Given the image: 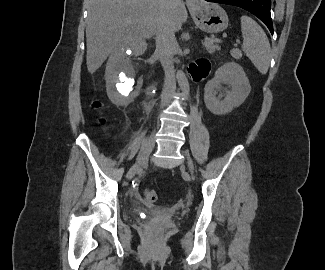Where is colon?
<instances>
[{
    "instance_id": "colon-1",
    "label": "colon",
    "mask_w": 325,
    "mask_h": 270,
    "mask_svg": "<svg viewBox=\"0 0 325 270\" xmlns=\"http://www.w3.org/2000/svg\"><path fill=\"white\" fill-rule=\"evenodd\" d=\"M95 107H100V102H94ZM157 193L152 189H147L144 193V199L147 203H153L157 200Z\"/></svg>"
}]
</instances>
